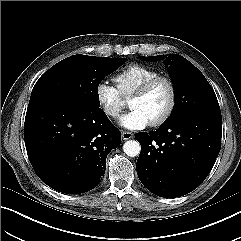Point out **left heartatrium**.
I'll list each match as a JSON object with an SVG mask.
<instances>
[{
    "label": "left heart atrium",
    "instance_id": "left-heart-atrium-1",
    "mask_svg": "<svg viewBox=\"0 0 241 241\" xmlns=\"http://www.w3.org/2000/svg\"><path fill=\"white\" fill-rule=\"evenodd\" d=\"M119 122L123 127L131 130L143 129L149 124L147 117L136 109H131V111L123 115Z\"/></svg>",
    "mask_w": 241,
    "mask_h": 241
}]
</instances>
